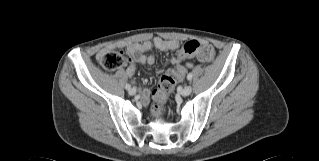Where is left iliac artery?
<instances>
[{"label": "left iliac artery", "mask_w": 319, "mask_h": 161, "mask_svg": "<svg viewBox=\"0 0 319 161\" xmlns=\"http://www.w3.org/2000/svg\"><path fill=\"white\" fill-rule=\"evenodd\" d=\"M192 77H193V75H192V73H189L188 75H187V80H191L192 79Z\"/></svg>", "instance_id": "44dca946"}]
</instances>
